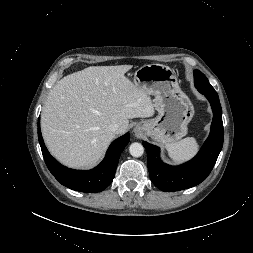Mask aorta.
I'll return each instance as SVG.
<instances>
[{
  "label": "aorta",
  "instance_id": "762f6f07",
  "mask_svg": "<svg viewBox=\"0 0 253 253\" xmlns=\"http://www.w3.org/2000/svg\"><path fill=\"white\" fill-rule=\"evenodd\" d=\"M129 152L133 157H141L144 153V147L141 143L134 142L130 145Z\"/></svg>",
  "mask_w": 253,
  "mask_h": 253
}]
</instances>
